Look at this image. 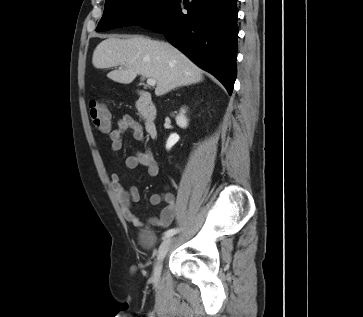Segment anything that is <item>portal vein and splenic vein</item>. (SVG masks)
<instances>
[{
    "mask_svg": "<svg viewBox=\"0 0 363 317\" xmlns=\"http://www.w3.org/2000/svg\"><path fill=\"white\" fill-rule=\"evenodd\" d=\"M156 80L155 79H153V78H148L147 79V84L149 85V86H155L156 85Z\"/></svg>",
    "mask_w": 363,
    "mask_h": 317,
    "instance_id": "portal-vein-and-splenic-vein-1",
    "label": "portal vein and splenic vein"
}]
</instances>
